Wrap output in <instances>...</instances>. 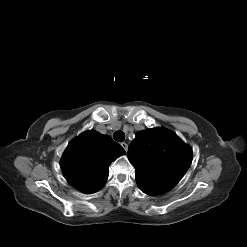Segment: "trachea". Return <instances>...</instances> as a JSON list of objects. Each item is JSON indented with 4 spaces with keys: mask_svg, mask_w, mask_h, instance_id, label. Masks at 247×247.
Segmentation results:
<instances>
[{
    "mask_svg": "<svg viewBox=\"0 0 247 247\" xmlns=\"http://www.w3.org/2000/svg\"><path fill=\"white\" fill-rule=\"evenodd\" d=\"M113 138L115 141L117 142H123L124 139H125V134L123 131H116L114 134H113Z\"/></svg>",
    "mask_w": 247,
    "mask_h": 247,
    "instance_id": "1",
    "label": "trachea"
}]
</instances>
